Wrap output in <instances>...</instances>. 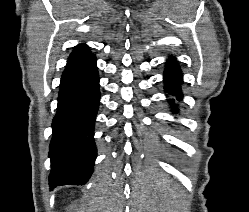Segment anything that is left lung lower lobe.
Returning <instances> with one entry per match:
<instances>
[{"label": "left lung lower lobe", "instance_id": "0a47b994", "mask_svg": "<svg viewBox=\"0 0 249 212\" xmlns=\"http://www.w3.org/2000/svg\"><path fill=\"white\" fill-rule=\"evenodd\" d=\"M164 83L165 90L167 93L176 96L177 100L182 99V93L180 88V85L183 83L182 73L177 62L173 58H170L166 64V69L164 73ZM169 101L174 106L175 99H170ZM173 112L176 113L177 110L173 109Z\"/></svg>", "mask_w": 249, "mask_h": 212}]
</instances>
